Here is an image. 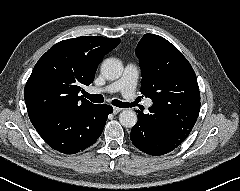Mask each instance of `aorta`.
<instances>
[{
    "label": "aorta",
    "mask_w": 240,
    "mask_h": 191,
    "mask_svg": "<svg viewBox=\"0 0 240 191\" xmlns=\"http://www.w3.org/2000/svg\"><path fill=\"white\" fill-rule=\"evenodd\" d=\"M101 73L108 80H116L123 73V65L116 58L105 59L101 65ZM119 121L122 126L132 128L137 123V115L134 111L126 109L120 113Z\"/></svg>",
    "instance_id": "obj_1"
}]
</instances>
